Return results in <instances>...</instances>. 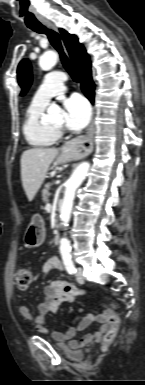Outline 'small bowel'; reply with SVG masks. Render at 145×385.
<instances>
[{
    "mask_svg": "<svg viewBox=\"0 0 145 385\" xmlns=\"http://www.w3.org/2000/svg\"><path fill=\"white\" fill-rule=\"evenodd\" d=\"M52 269L63 270V265L59 258L51 257L42 265V272L47 273ZM59 284H64L70 288H77L76 293H63L58 289ZM44 301L39 304L37 313L34 314L27 306L21 305L18 308L22 318L32 321L37 330L46 334L48 332L45 326L46 317L49 313H56L65 303L73 302L74 297L83 294V290L70 283L55 281L47 284L44 289ZM82 313V310L80 311ZM97 322L99 327L97 331L86 334L80 341L74 340V336L81 331H84L92 323ZM73 326L69 327L65 332L54 331L53 338L58 342H69V346L73 350H77L82 346H86L93 341H100L105 333L108 332L109 326L107 323V313L101 312L98 314H84L77 316L72 320Z\"/></svg>",
    "mask_w": 145,
    "mask_h": 385,
    "instance_id": "small-bowel-1",
    "label": "small bowel"
}]
</instances>
